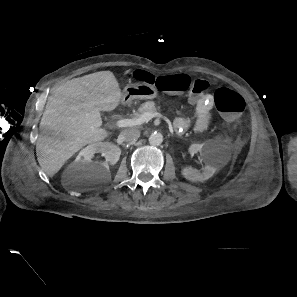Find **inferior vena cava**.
<instances>
[{
	"label": "inferior vena cava",
	"mask_w": 297,
	"mask_h": 297,
	"mask_svg": "<svg viewBox=\"0 0 297 297\" xmlns=\"http://www.w3.org/2000/svg\"><path fill=\"white\" fill-rule=\"evenodd\" d=\"M140 137V131L137 128H128L123 130L119 135L122 142H133Z\"/></svg>",
	"instance_id": "1"
}]
</instances>
